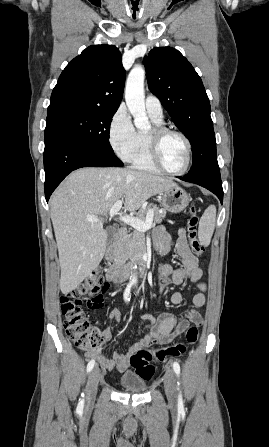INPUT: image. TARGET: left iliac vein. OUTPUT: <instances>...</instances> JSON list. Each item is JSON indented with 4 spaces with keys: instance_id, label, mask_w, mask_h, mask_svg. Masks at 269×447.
<instances>
[{
    "instance_id": "1",
    "label": "left iliac vein",
    "mask_w": 269,
    "mask_h": 447,
    "mask_svg": "<svg viewBox=\"0 0 269 447\" xmlns=\"http://www.w3.org/2000/svg\"><path fill=\"white\" fill-rule=\"evenodd\" d=\"M164 387L168 402L173 405L177 401V386L175 373L172 369H168L164 376Z\"/></svg>"
}]
</instances>
